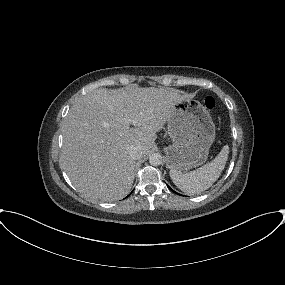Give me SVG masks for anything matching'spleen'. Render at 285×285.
Masks as SVG:
<instances>
[{
	"instance_id": "1",
	"label": "spleen",
	"mask_w": 285,
	"mask_h": 285,
	"mask_svg": "<svg viewBox=\"0 0 285 285\" xmlns=\"http://www.w3.org/2000/svg\"><path fill=\"white\" fill-rule=\"evenodd\" d=\"M229 146L225 145L216 158L197 170L183 173L171 169L169 174L173 183L188 195L199 194L212 186L225 168Z\"/></svg>"
}]
</instances>
